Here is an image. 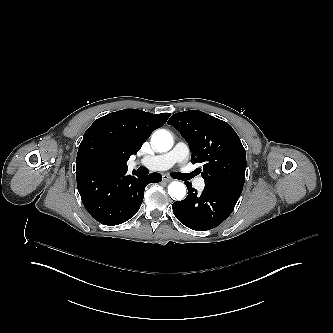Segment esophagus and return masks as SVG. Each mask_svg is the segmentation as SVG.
<instances>
[{"instance_id":"obj_1","label":"esophagus","mask_w":333,"mask_h":333,"mask_svg":"<svg viewBox=\"0 0 333 333\" xmlns=\"http://www.w3.org/2000/svg\"><path fill=\"white\" fill-rule=\"evenodd\" d=\"M162 179H163V181H165V182H171V181H173V179L170 178L168 175H163V176H162Z\"/></svg>"}]
</instances>
